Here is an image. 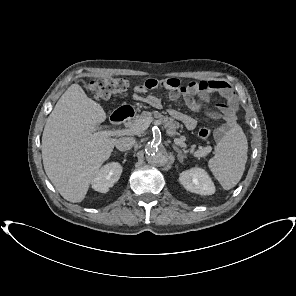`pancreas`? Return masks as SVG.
<instances>
[{
	"label": "pancreas",
	"mask_w": 296,
	"mask_h": 296,
	"mask_svg": "<svg viewBox=\"0 0 296 296\" xmlns=\"http://www.w3.org/2000/svg\"><path fill=\"white\" fill-rule=\"evenodd\" d=\"M144 118H150L151 120H154V122L157 125H162V127L164 129H166L167 134L170 136H174L177 134V129L179 128V123L174 121V119H172L171 117H167L162 115L161 113H159L158 111H153V112H147L144 111L142 112L140 115H136V117L133 120H130L126 123L127 127L132 128L135 127L140 120L144 119ZM181 139H184L183 137H181ZM204 148H199L195 153L199 154L198 157H202L205 156L206 153L203 152ZM191 152L194 151V147H192V149L190 150Z\"/></svg>",
	"instance_id": "1"
}]
</instances>
